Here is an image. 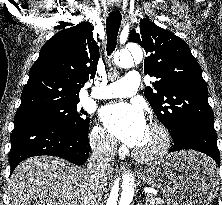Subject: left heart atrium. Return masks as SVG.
<instances>
[{"label": "left heart atrium", "mask_w": 222, "mask_h": 205, "mask_svg": "<svg viewBox=\"0 0 222 205\" xmlns=\"http://www.w3.org/2000/svg\"><path fill=\"white\" fill-rule=\"evenodd\" d=\"M101 117L107 128L130 147L140 143L148 127L144 112L137 104L108 105L102 110Z\"/></svg>", "instance_id": "39dd6f15"}]
</instances>
